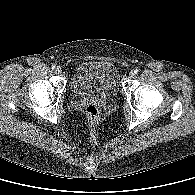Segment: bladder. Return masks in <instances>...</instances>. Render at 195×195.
I'll return each instance as SVG.
<instances>
[{"mask_svg": "<svg viewBox=\"0 0 195 195\" xmlns=\"http://www.w3.org/2000/svg\"><path fill=\"white\" fill-rule=\"evenodd\" d=\"M70 87L72 93L78 97L97 96L111 99L119 92V71L109 61H85L77 67Z\"/></svg>", "mask_w": 195, "mask_h": 195, "instance_id": "obj_1", "label": "bladder"}]
</instances>
